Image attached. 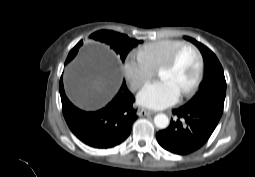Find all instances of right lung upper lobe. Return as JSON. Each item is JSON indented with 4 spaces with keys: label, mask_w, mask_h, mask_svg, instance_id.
Returning a JSON list of instances; mask_svg holds the SVG:
<instances>
[{
    "label": "right lung upper lobe",
    "mask_w": 255,
    "mask_h": 177,
    "mask_svg": "<svg viewBox=\"0 0 255 177\" xmlns=\"http://www.w3.org/2000/svg\"><path fill=\"white\" fill-rule=\"evenodd\" d=\"M79 47V43L70 51L67 59H66V63H68L74 56H75V51L78 49Z\"/></svg>",
    "instance_id": "obj_1"
}]
</instances>
